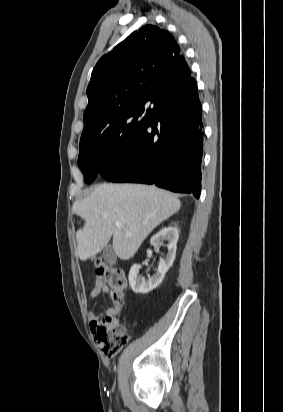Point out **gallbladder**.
I'll return each instance as SVG.
<instances>
[{
    "mask_svg": "<svg viewBox=\"0 0 283 412\" xmlns=\"http://www.w3.org/2000/svg\"><path fill=\"white\" fill-rule=\"evenodd\" d=\"M103 258L104 261L109 265H112L114 263V261L116 260V255L112 245H108L106 247L103 252Z\"/></svg>",
    "mask_w": 283,
    "mask_h": 412,
    "instance_id": "obj_1",
    "label": "gallbladder"
}]
</instances>
